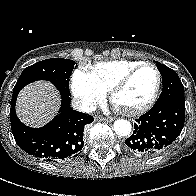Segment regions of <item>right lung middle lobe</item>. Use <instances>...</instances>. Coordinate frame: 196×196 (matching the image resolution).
<instances>
[{
  "instance_id": "dd1d6c3e",
  "label": "right lung middle lobe",
  "mask_w": 196,
  "mask_h": 196,
  "mask_svg": "<svg viewBox=\"0 0 196 196\" xmlns=\"http://www.w3.org/2000/svg\"><path fill=\"white\" fill-rule=\"evenodd\" d=\"M74 64L72 60L61 58L46 59L35 63L23 70L13 93L19 92L31 82L47 80L53 83L60 92L70 95L69 78Z\"/></svg>"
}]
</instances>
